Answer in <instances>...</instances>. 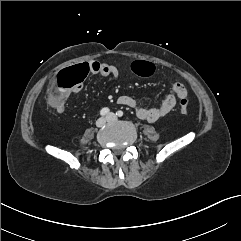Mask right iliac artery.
I'll list each match as a JSON object with an SVG mask.
<instances>
[{"instance_id":"1","label":"right iliac artery","mask_w":241,"mask_h":241,"mask_svg":"<svg viewBox=\"0 0 241 241\" xmlns=\"http://www.w3.org/2000/svg\"><path fill=\"white\" fill-rule=\"evenodd\" d=\"M109 109L108 108H103L101 111H100V115L101 116H105L109 113Z\"/></svg>"}]
</instances>
